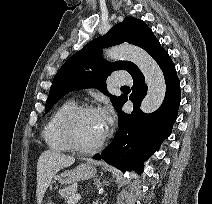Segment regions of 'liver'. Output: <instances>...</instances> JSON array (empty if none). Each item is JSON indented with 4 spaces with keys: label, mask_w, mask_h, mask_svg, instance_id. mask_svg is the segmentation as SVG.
<instances>
[{
    "label": "liver",
    "mask_w": 212,
    "mask_h": 204,
    "mask_svg": "<svg viewBox=\"0 0 212 204\" xmlns=\"http://www.w3.org/2000/svg\"><path fill=\"white\" fill-rule=\"evenodd\" d=\"M75 162V158L54 150L44 151L37 162V203L41 204L44 194L55 174Z\"/></svg>",
    "instance_id": "6515ba94"
}]
</instances>
